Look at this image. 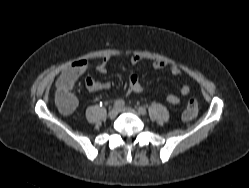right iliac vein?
Wrapping results in <instances>:
<instances>
[{"label":"right iliac vein","instance_id":"1","mask_svg":"<svg viewBox=\"0 0 249 188\" xmlns=\"http://www.w3.org/2000/svg\"><path fill=\"white\" fill-rule=\"evenodd\" d=\"M117 115H118V109L117 108H112L108 113L109 119H114V118H116Z\"/></svg>","mask_w":249,"mask_h":188}]
</instances>
